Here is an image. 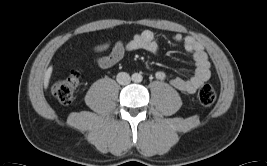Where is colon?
Masks as SVG:
<instances>
[{
	"label": "colon",
	"mask_w": 267,
	"mask_h": 166,
	"mask_svg": "<svg viewBox=\"0 0 267 166\" xmlns=\"http://www.w3.org/2000/svg\"><path fill=\"white\" fill-rule=\"evenodd\" d=\"M80 71L72 70L70 75L57 80L53 87L52 93L56 99L64 105H69L74 99L76 89L79 84ZM198 98L202 105L211 106L215 103L217 93L211 83H204L198 92Z\"/></svg>",
	"instance_id": "5ec220e1"
}]
</instances>
